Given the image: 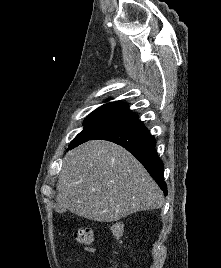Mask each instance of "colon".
<instances>
[{
    "mask_svg": "<svg viewBox=\"0 0 221 268\" xmlns=\"http://www.w3.org/2000/svg\"><path fill=\"white\" fill-rule=\"evenodd\" d=\"M112 234L115 238L121 239L124 235V226L120 222H116L111 226ZM75 240L83 245H90L94 241V232L89 227L79 228L74 232Z\"/></svg>",
    "mask_w": 221,
    "mask_h": 268,
    "instance_id": "1",
    "label": "colon"
}]
</instances>
